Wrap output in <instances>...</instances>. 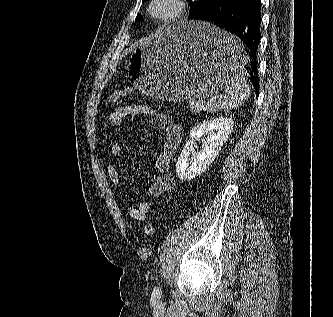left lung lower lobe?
Masks as SVG:
<instances>
[{"mask_svg":"<svg viewBox=\"0 0 333 317\" xmlns=\"http://www.w3.org/2000/svg\"><path fill=\"white\" fill-rule=\"evenodd\" d=\"M260 0H212L201 11L189 16L191 20L209 22L222 30L236 34L248 47L249 78L256 94H259V78L257 70V49L260 42ZM225 55H230L226 46L219 48Z\"/></svg>","mask_w":333,"mask_h":317,"instance_id":"left-lung-lower-lobe-1","label":"left lung lower lobe"}]
</instances>
